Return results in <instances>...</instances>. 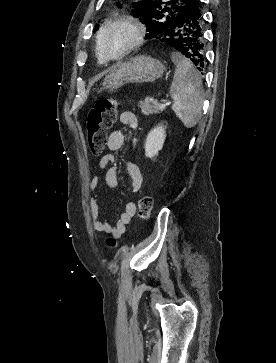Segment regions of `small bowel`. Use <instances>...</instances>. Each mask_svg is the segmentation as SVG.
<instances>
[{
  "instance_id": "obj_1",
  "label": "small bowel",
  "mask_w": 276,
  "mask_h": 363,
  "mask_svg": "<svg viewBox=\"0 0 276 363\" xmlns=\"http://www.w3.org/2000/svg\"><path fill=\"white\" fill-rule=\"evenodd\" d=\"M119 122L122 126H127L133 130L138 129V119L131 111H123L119 115ZM137 139L134 138L133 144L135 145ZM124 144V135L121 130H115L110 133L108 137V149L110 151H118ZM115 156L112 154L105 155L99 163L102 170H105V183L110 188H115L118 185V169L115 165ZM126 170L131 180L132 188L135 192L141 190L143 186V178L137 164L132 160L126 161ZM99 176L96 175L90 182L91 193L89 196V204L91 211L92 224L95 230L102 233L110 234L114 237H121L125 232L127 226L136 214L137 208L135 203L128 202L124 206L116 224L113 226L106 221L102 220V215L99 207V200L96 194V188L99 184Z\"/></svg>"
}]
</instances>
